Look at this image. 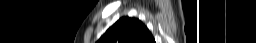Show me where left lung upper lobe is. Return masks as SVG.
I'll return each mask as SVG.
<instances>
[{
  "label": "left lung upper lobe",
  "mask_w": 256,
  "mask_h": 43,
  "mask_svg": "<svg viewBox=\"0 0 256 43\" xmlns=\"http://www.w3.org/2000/svg\"><path fill=\"white\" fill-rule=\"evenodd\" d=\"M97 43H155V40L140 20L123 17Z\"/></svg>",
  "instance_id": "obj_1"
}]
</instances>
